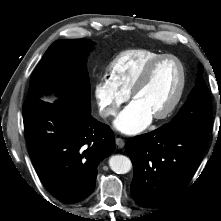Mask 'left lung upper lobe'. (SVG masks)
<instances>
[{
	"instance_id": "5c2ea615",
	"label": "left lung upper lobe",
	"mask_w": 221,
	"mask_h": 221,
	"mask_svg": "<svg viewBox=\"0 0 221 221\" xmlns=\"http://www.w3.org/2000/svg\"><path fill=\"white\" fill-rule=\"evenodd\" d=\"M203 67L196 87L190 93L185 105L171 122L164 125L167 129H198L210 132L212 129L211 97L202 78Z\"/></svg>"
}]
</instances>
